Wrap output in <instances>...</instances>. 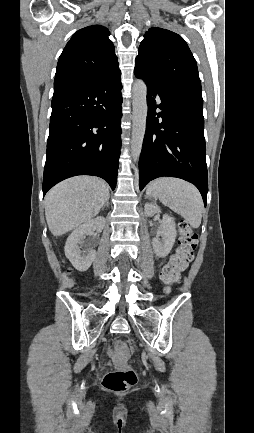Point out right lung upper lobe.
<instances>
[{"label": "right lung upper lobe", "instance_id": "right-lung-upper-lobe-1", "mask_svg": "<svg viewBox=\"0 0 254 433\" xmlns=\"http://www.w3.org/2000/svg\"><path fill=\"white\" fill-rule=\"evenodd\" d=\"M109 31L92 25L73 34L58 60L54 86L72 81L98 80L120 73Z\"/></svg>", "mask_w": 254, "mask_h": 433}]
</instances>
